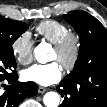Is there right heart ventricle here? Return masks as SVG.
Returning <instances> with one entry per match:
<instances>
[{
	"instance_id": "1",
	"label": "right heart ventricle",
	"mask_w": 107,
	"mask_h": 107,
	"mask_svg": "<svg viewBox=\"0 0 107 107\" xmlns=\"http://www.w3.org/2000/svg\"><path fill=\"white\" fill-rule=\"evenodd\" d=\"M36 32L43 39L52 44L57 43L66 33L70 32L69 27L59 21L45 20L36 26Z\"/></svg>"
}]
</instances>
